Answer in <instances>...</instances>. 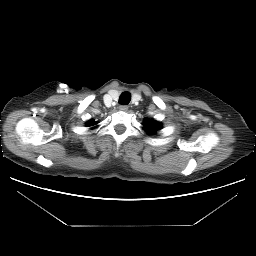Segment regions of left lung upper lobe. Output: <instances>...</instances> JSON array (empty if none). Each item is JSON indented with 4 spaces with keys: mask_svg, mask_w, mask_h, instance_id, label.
<instances>
[{
    "mask_svg": "<svg viewBox=\"0 0 256 256\" xmlns=\"http://www.w3.org/2000/svg\"><path fill=\"white\" fill-rule=\"evenodd\" d=\"M145 129L149 134H154L161 129L160 124L155 120H147L145 123Z\"/></svg>",
    "mask_w": 256,
    "mask_h": 256,
    "instance_id": "1",
    "label": "left lung upper lobe"
}]
</instances>
